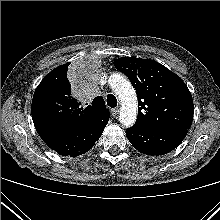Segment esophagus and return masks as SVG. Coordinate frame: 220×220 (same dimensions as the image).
<instances>
[{"label": "esophagus", "mask_w": 220, "mask_h": 220, "mask_svg": "<svg viewBox=\"0 0 220 220\" xmlns=\"http://www.w3.org/2000/svg\"><path fill=\"white\" fill-rule=\"evenodd\" d=\"M118 113H119V109H118V108H113V109H111V114H112V116H117Z\"/></svg>", "instance_id": "1"}]
</instances>
